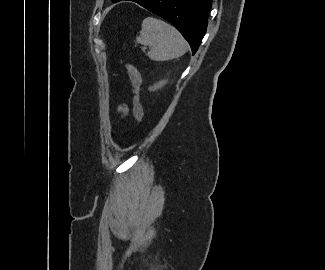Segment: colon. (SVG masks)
I'll return each mask as SVG.
<instances>
[{
	"label": "colon",
	"mask_w": 325,
	"mask_h": 270,
	"mask_svg": "<svg viewBox=\"0 0 325 270\" xmlns=\"http://www.w3.org/2000/svg\"><path fill=\"white\" fill-rule=\"evenodd\" d=\"M126 70L133 88V113L137 122H141L144 116L143 106L140 101L141 76L132 63H126Z\"/></svg>",
	"instance_id": "1"
}]
</instances>
